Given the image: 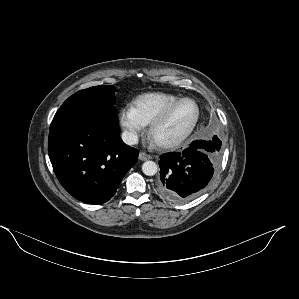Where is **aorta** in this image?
<instances>
[{"mask_svg":"<svg viewBox=\"0 0 299 299\" xmlns=\"http://www.w3.org/2000/svg\"><path fill=\"white\" fill-rule=\"evenodd\" d=\"M158 166L153 161H146L142 165V171L147 176H153L157 173Z\"/></svg>","mask_w":299,"mask_h":299,"instance_id":"aorta-1","label":"aorta"}]
</instances>
